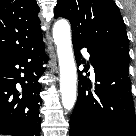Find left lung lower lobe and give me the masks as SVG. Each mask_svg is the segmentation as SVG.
I'll list each match as a JSON object with an SVG mask.
<instances>
[{"label": "left lung lower lobe", "instance_id": "obj_1", "mask_svg": "<svg viewBox=\"0 0 136 136\" xmlns=\"http://www.w3.org/2000/svg\"><path fill=\"white\" fill-rule=\"evenodd\" d=\"M79 66L81 48H87L96 83L91 85L79 71L78 99L70 119V136H136V117L130 94L129 63L73 40Z\"/></svg>", "mask_w": 136, "mask_h": 136}]
</instances>
